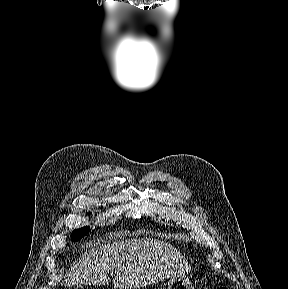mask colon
<instances>
[{"instance_id":"colon-1","label":"colon","mask_w":288,"mask_h":289,"mask_svg":"<svg viewBox=\"0 0 288 289\" xmlns=\"http://www.w3.org/2000/svg\"><path fill=\"white\" fill-rule=\"evenodd\" d=\"M75 289H82V288L77 287V288H75ZM220 289H229V288H227V287H222V288H220Z\"/></svg>"}]
</instances>
